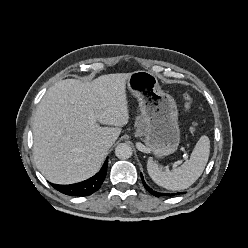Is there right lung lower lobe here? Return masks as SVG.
<instances>
[{
  "instance_id": "right-lung-lower-lobe-1",
  "label": "right lung lower lobe",
  "mask_w": 248,
  "mask_h": 248,
  "mask_svg": "<svg viewBox=\"0 0 248 248\" xmlns=\"http://www.w3.org/2000/svg\"><path fill=\"white\" fill-rule=\"evenodd\" d=\"M108 158L104 162L101 170L93 177L70 185L51 184L53 188L71 196H88L96 192L102 185L107 173Z\"/></svg>"
}]
</instances>
